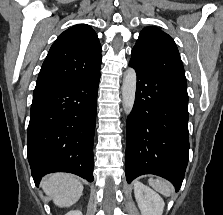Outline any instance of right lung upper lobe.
I'll use <instances>...</instances> for the list:
<instances>
[{"instance_id": "1", "label": "right lung upper lobe", "mask_w": 223, "mask_h": 215, "mask_svg": "<svg viewBox=\"0 0 223 215\" xmlns=\"http://www.w3.org/2000/svg\"><path fill=\"white\" fill-rule=\"evenodd\" d=\"M101 45L87 24L59 35L41 67L33 95L55 91L93 76L100 70Z\"/></svg>"}]
</instances>
